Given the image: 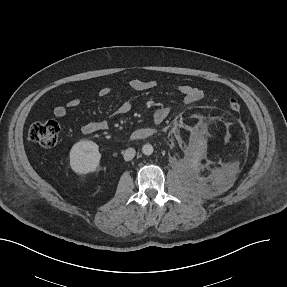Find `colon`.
<instances>
[{
	"mask_svg": "<svg viewBox=\"0 0 287 287\" xmlns=\"http://www.w3.org/2000/svg\"><path fill=\"white\" fill-rule=\"evenodd\" d=\"M228 107L234 113L242 110L240 101L234 98L228 101ZM59 130L55 121L34 122L29 127L28 138L43 148H51L57 143Z\"/></svg>",
	"mask_w": 287,
	"mask_h": 287,
	"instance_id": "colon-1",
	"label": "colon"
}]
</instances>
